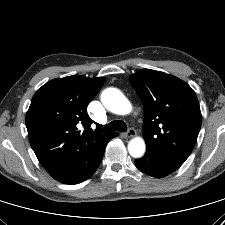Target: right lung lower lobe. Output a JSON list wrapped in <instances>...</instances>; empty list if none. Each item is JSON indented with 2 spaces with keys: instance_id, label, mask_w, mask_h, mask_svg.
<instances>
[{
  "instance_id": "98d812e1",
  "label": "right lung lower lobe",
  "mask_w": 225,
  "mask_h": 225,
  "mask_svg": "<svg viewBox=\"0 0 225 225\" xmlns=\"http://www.w3.org/2000/svg\"><path fill=\"white\" fill-rule=\"evenodd\" d=\"M117 135L118 133H114L108 139L105 140V142L98 148L94 159L90 163H87L85 165L71 166L63 174L53 178H55L61 183L77 184L91 177L92 174L98 169L102 161L104 149L107 143L110 141V139L116 137Z\"/></svg>"
}]
</instances>
